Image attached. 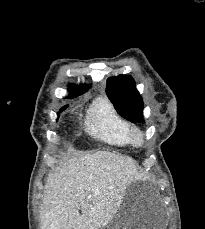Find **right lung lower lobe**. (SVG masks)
Returning a JSON list of instances; mask_svg holds the SVG:
<instances>
[{
	"label": "right lung lower lobe",
	"mask_w": 205,
	"mask_h": 229,
	"mask_svg": "<svg viewBox=\"0 0 205 229\" xmlns=\"http://www.w3.org/2000/svg\"><path fill=\"white\" fill-rule=\"evenodd\" d=\"M64 108H66V107H63L60 111H62Z\"/></svg>",
	"instance_id": "right-lung-lower-lobe-1"
}]
</instances>
